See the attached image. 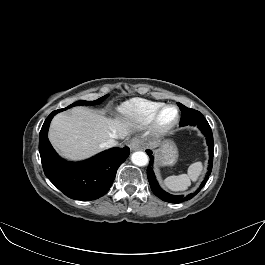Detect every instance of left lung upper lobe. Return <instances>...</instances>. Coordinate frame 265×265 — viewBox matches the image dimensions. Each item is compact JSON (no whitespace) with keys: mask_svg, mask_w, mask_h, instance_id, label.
Masks as SVG:
<instances>
[{"mask_svg":"<svg viewBox=\"0 0 265 265\" xmlns=\"http://www.w3.org/2000/svg\"><path fill=\"white\" fill-rule=\"evenodd\" d=\"M178 106L182 112L180 126H185L196 119L204 117L199 111L188 108L181 103H178Z\"/></svg>","mask_w":265,"mask_h":265,"instance_id":"1","label":"left lung upper lobe"}]
</instances>
